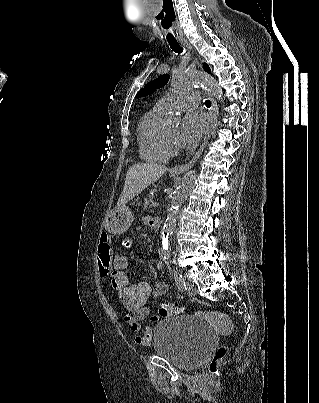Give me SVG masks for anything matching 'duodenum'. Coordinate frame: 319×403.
Segmentation results:
<instances>
[{
    "label": "duodenum",
    "instance_id": "410a0bca",
    "mask_svg": "<svg viewBox=\"0 0 319 403\" xmlns=\"http://www.w3.org/2000/svg\"><path fill=\"white\" fill-rule=\"evenodd\" d=\"M151 227L154 230H158L160 228V220L157 218H153Z\"/></svg>",
    "mask_w": 319,
    "mask_h": 403
}]
</instances>
